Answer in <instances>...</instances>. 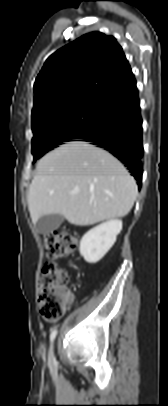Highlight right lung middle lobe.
Instances as JSON below:
<instances>
[{
  "instance_id": "1",
  "label": "right lung middle lobe",
  "mask_w": 168,
  "mask_h": 406,
  "mask_svg": "<svg viewBox=\"0 0 168 406\" xmlns=\"http://www.w3.org/2000/svg\"><path fill=\"white\" fill-rule=\"evenodd\" d=\"M105 116V100L91 99L74 103L32 123L34 161L45 153L82 136Z\"/></svg>"
}]
</instances>
